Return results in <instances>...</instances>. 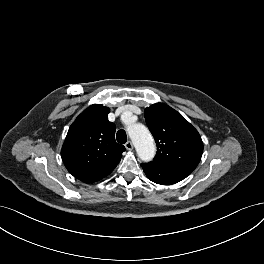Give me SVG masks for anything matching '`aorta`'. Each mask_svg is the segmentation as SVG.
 Segmentation results:
<instances>
[{
	"instance_id": "obj_1",
	"label": "aorta",
	"mask_w": 264,
	"mask_h": 264,
	"mask_svg": "<svg viewBox=\"0 0 264 264\" xmlns=\"http://www.w3.org/2000/svg\"><path fill=\"white\" fill-rule=\"evenodd\" d=\"M128 134L134 143L138 157L144 161H151L156 153L154 140L149 130L142 124L126 122Z\"/></svg>"
}]
</instances>
